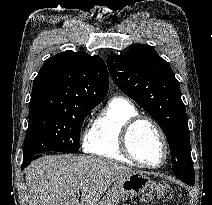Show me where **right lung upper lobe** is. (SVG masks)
Returning <instances> with one entry per match:
<instances>
[{"label":"right lung upper lobe","mask_w":212,"mask_h":205,"mask_svg":"<svg viewBox=\"0 0 212 205\" xmlns=\"http://www.w3.org/2000/svg\"><path fill=\"white\" fill-rule=\"evenodd\" d=\"M108 88V71L100 56L68 50L45 60L34 79L29 107L98 105Z\"/></svg>","instance_id":"1"}]
</instances>
